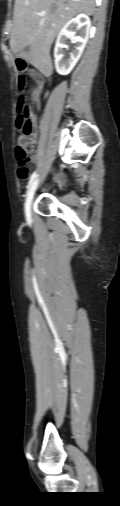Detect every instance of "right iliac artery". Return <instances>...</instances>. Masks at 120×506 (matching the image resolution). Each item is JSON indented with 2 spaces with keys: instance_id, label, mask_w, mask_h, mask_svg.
<instances>
[{
  "instance_id": "obj_1",
  "label": "right iliac artery",
  "mask_w": 120,
  "mask_h": 506,
  "mask_svg": "<svg viewBox=\"0 0 120 506\" xmlns=\"http://www.w3.org/2000/svg\"><path fill=\"white\" fill-rule=\"evenodd\" d=\"M36 177H37V174H36V172H34V173L31 175L30 179H29V182H28L27 188H30L31 184L34 182V180H35V178H36Z\"/></svg>"
}]
</instances>
